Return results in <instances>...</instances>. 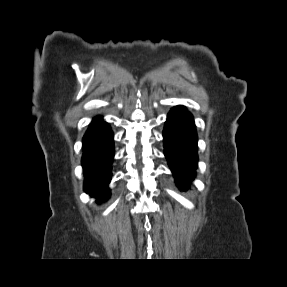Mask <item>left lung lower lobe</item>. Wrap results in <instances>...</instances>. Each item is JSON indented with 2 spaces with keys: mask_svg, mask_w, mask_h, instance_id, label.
<instances>
[{
  "mask_svg": "<svg viewBox=\"0 0 287 287\" xmlns=\"http://www.w3.org/2000/svg\"><path fill=\"white\" fill-rule=\"evenodd\" d=\"M164 154L176 180L185 190L196 175L198 163L197 134L193 116L181 105L168 114L164 131Z\"/></svg>",
  "mask_w": 287,
  "mask_h": 287,
  "instance_id": "left-lung-lower-lobe-1",
  "label": "left lung lower lobe"
}]
</instances>
